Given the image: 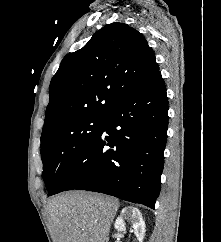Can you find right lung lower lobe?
Returning <instances> with one entry per match:
<instances>
[{
    "label": "right lung lower lobe",
    "mask_w": 221,
    "mask_h": 242,
    "mask_svg": "<svg viewBox=\"0 0 221 242\" xmlns=\"http://www.w3.org/2000/svg\"><path fill=\"white\" fill-rule=\"evenodd\" d=\"M103 117L97 136L72 161L50 195L88 190L154 209L168 125V98L161 73Z\"/></svg>",
    "instance_id": "98d812e1"
}]
</instances>
